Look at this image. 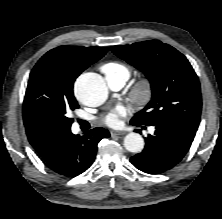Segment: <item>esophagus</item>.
<instances>
[{
    "mask_svg": "<svg viewBox=\"0 0 222 219\" xmlns=\"http://www.w3.org/2000/svg\"><path fill=\"white\" fill-rule=\"evenodd\" d=\"M123 134H124L123 132L111 131V136H112V137L121 136V135H123Z\"/></svg>",
    "mask_w": 222,
    "mask_h": 219,
    "instance_id": "1",
    "label": "esophagus"
}]
</instances>
